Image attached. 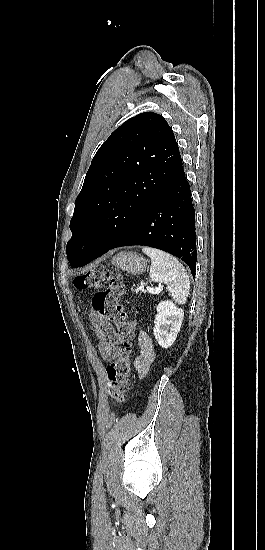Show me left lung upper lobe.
<instances>
[{
    "instance_id": "left-lung-upper-lobe-1",
    "label": "left lung upper lobe",
    "mask_w": 265,
    "mask_h": 550,
    "mask_svg": "<svg viewBox=\"0 0 265 550\" xmlns=\"http://www.w3.org/2000/svg\"><path fill=\"white\" fill-rule=\"evenodd\" d=\"M182 165L171 127L154 112L118 127L86 174L70 221L71 267L107 250L147 208Z\"/></svg>"
}]
</instances>
